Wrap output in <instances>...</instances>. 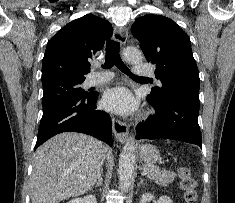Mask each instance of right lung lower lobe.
I'll use <instances>...</instances> for the list:
<instances>
[{"mask_svg":"<svg viewBox=\"0 0 235 203\" xmlns=\"http://www.w3.org/2000/svg\"><path fill=\"white\" fill-rule=\"evenodd\" d=\"M98 93L70 95L43 105L35 149L62 132L91 135L112 146L110 115L96 107Z\"/></svg>","mask_w":235,"mask_h":203,"instance_id":"obj_1","label":"right lung lower lobe"}]
</instances>
